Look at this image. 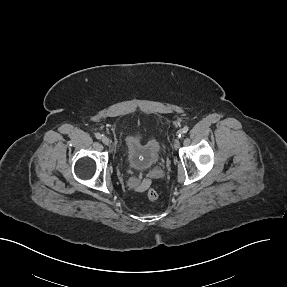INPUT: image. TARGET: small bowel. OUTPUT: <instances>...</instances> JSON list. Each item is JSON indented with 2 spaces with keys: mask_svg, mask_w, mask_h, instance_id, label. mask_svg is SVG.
Here are the masks:
<instances>
[{
  "mask_svg": "<svg viewBox=\"0 0 287 287\" xmlns=\"http://www.w3.org/2000/svg\"><path fill=\"white\" fill-rule=\"evenodd\" d=\"M146 189V185L145 184H141V185H139L138 187H137V190L139 191V192H142V191H144Z\"/></svg>",
  "mask_w": 287,
  "mask_h": 287,
  "instance_id": "small-bowel-1",
  "label": "small bowel"
}]
</instances>
